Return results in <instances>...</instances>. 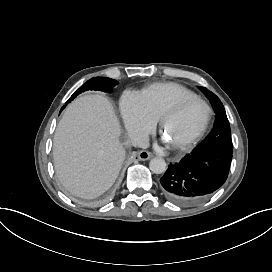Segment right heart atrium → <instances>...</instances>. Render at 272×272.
<instances>
[{
    "mask_svg": "<svg viewBox=\"0 0 272 272\" xmlns=\"http://www.w3.org/2000/svg\"><path fill=\"white\" fill-rule=\"evenodd\" d=\"M125 124L130 133L140 134L150 130L156 118L145 108L138 94L125 92L122 96Z\"/></svg>",
    "mask_w": 272,
    "mask_h": 272,
    "instance_id": "right-heart-atrium-1",
    "label": "right heart atrium"
}]
</instances>
